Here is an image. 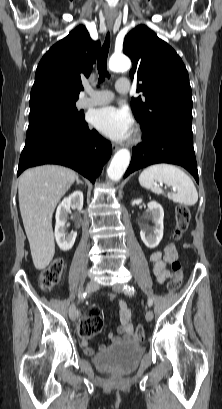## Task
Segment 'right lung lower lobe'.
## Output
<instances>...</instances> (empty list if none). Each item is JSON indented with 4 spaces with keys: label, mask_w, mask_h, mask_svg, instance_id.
I'll return each mask as SVG.
<instances>
[{
    "label": "right lung lower lobe",
    "mask_w": 222,
    "mask_h": 409,
    "mask_svg": "<svg viewBox=\"0 0 222 409\" xmlns=\"http://www.w3.org/2000/svg\"><path fill=\"white\" fill-rule=\"evenodd\" d=\"M111 152L110 142L90 130L85 120L62 127L44 125L27 133L17 176L29 167L60 164L78 171L94 183Z\"/></svg>",
    "instance_id": "1"
}]
</instances>
